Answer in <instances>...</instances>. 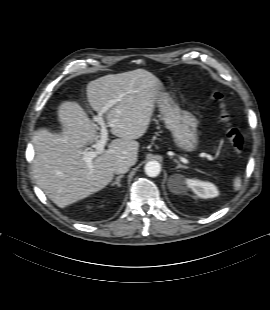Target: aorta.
Returning <instances> with one entry per match:
<instances>
[{
	"instance_id": "obj_1",
	"label": "aorta",
	"mask_w": 270,
	"mask_h": 310,
	"mask_svg": "<svg viewBox=\"0 0 270 310\" xmlns=\"http://www.w3.org/2000/svg\"><path fill=\"white\" fill-rule=\"evenodd\" d=\"M144 170L149 177H156L160 174L161 165L157 161H149L146 163Z\"/></svg>"
}]
</instances>
